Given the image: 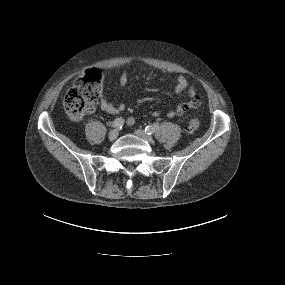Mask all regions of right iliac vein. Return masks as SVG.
I'll return each mask as SVG.
<instances>
[{
  "mask_svg": "<svg viewBox=\"0 0 285 285\" xmlns=\"http://www.w3.org/2000/svg\"><path fill=\"white\" fill-rule=\"evenodd\" d=\"M118 135H119L118 130L114 129V130L109 132V139L111 141H113V140H115L118 137Z\"/></svg>",
  "mask_w": 285,
  "mask_h": 285,
  "instance_id": "right-iliac-vein-1",
  "label": "right iliac vein"
}]
</instances>
